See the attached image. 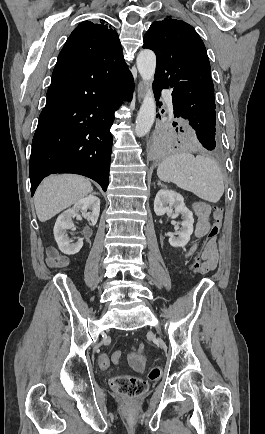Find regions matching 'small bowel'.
Returning <instances> with one entry per match:
<instances>
[{"mask_svg":"<svg viewBox=\"0 0 265 434\" xmlns=\"http://www.w3.org/2000/svg\"><path fill=\"white\" fill-rule=\"evenodd\" d=\"M193 211L196 215L197 221L195 225L194 234L196 238L201 239L208 235V232L211 228V208L208 203L203 201H197L193 204ZM197 246H192L187 252L186 256H191ZM203 261H205L208 266H205L202 269V272L205 275H208L211 270H214L217 262H218V252L216 248V240L208 241L201 253ZM110 363V362H109ZM130 364L131 366L138 372H143L144 370V352L143 345L140 344L136 348L133 349V352L130 356ZM109 366V364H108Z\"/></svg>","mask_w":265,"mask_h":434,"instance_id":"small-bowel-1","label":"small bowel"}]
</instances>
